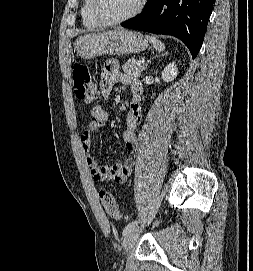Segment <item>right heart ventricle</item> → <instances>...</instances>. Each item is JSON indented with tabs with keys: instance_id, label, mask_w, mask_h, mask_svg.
Wrapping results in <instances>:
<instances>
[{
	"instance_id": "e07e8e85",
	"label": "right heart ventricle",
	"mask_w": 253,
	"mask_h": 271,
	"mask_svg": "<svg viewBox=\"0 0 253 271\" xmlns=\"http://www.w3.org/2000/svg\"><path fill=\"white\" fill-rule=\"evenodd\" d=\"M91 3H92V0H83L80 15H81L83 26L85 28L96 29L100 27L101 24L96 21V19L94 18L92 14Z\"/></svg>"
}]
</instances>
